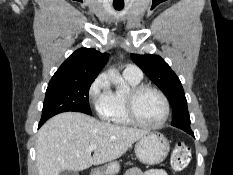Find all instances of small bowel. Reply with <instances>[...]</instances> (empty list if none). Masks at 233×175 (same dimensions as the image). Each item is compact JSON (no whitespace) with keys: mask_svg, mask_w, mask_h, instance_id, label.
<instances>
[{"mask_svg":"<svg viewBox=\"0 0 233 175\" xmlns=\"http://www.w3.org/2000/svg\"><path fill=\"white\" fill-rule=\"evenodd\" d=\"M125 175H167L166 171L163 169H150L147 171H142L137 168L128 170Z\"/></svg>","mask_w":233,"mask_h":175,"instance_id":"obj_1","label":"small bowel"}]
</instances>
